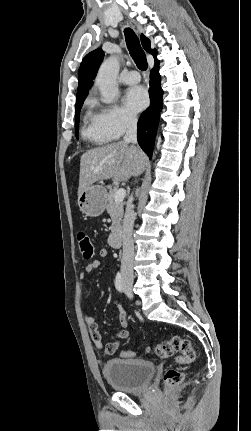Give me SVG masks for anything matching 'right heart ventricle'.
Masks as SVG:
<instances>
[{"label": "right heart ventricle", "instance_id": "e07e8e85", "mask_svg": "<svg viewBox=\"0 0 251 431\" xmlns=\"http://www.w3.org/2000/svg\"><path fill=\"white\" fill-rule=\"evenodd\" d=\"M92 102H87V109L84 115V125L82 135L84 138L96 142L106 143L111 138L102 130L98 122V115L92 110Z\"/></svg>", "mask_w": 251, "mask_h": 431}]
</instances>
